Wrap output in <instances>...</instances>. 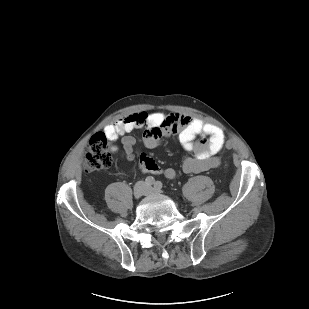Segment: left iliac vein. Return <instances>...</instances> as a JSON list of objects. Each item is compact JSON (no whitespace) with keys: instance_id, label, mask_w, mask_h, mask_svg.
Wrapping results in <instances>:
<instances>
[{"instance_id":"4c4485c4","label":"left iliac vein","mask_w":309,"mask_h":309,"mask_svg":"<svg viewBox=\"0 0 309 309\" xmlns=\"http://www.w3.org/2000/svg\"><path fill=\"white\" fill-rule=\"evenodd\" d=\"M148 193H160V190H157V189H149Z\"/></svg>"}]
</instances>
